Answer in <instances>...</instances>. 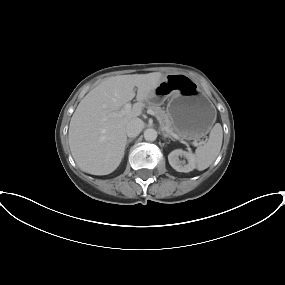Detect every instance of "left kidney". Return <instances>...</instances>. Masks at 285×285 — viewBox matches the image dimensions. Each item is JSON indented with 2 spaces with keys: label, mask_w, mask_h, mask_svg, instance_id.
Wrapping results in <instances>:
<instances>
[{
  "label": "left kidney",
  "mask_w": 285,
  "mask_h": 285,
  "mask_svg": "<svg viewBox=\"0 0 285 285\" xmlns=\"http://www.w3.org/2000/svg\"><path fill=\"white\" fill-rule=\"evenodd\" d=\"M179 157H184L187 160V163L185 160L181 161ZM168 161L169 164L178 172L187 173L195 169L196 166L194 155L181 149L173 150L168 155Z\"/></svg>",
  "instance_id": "obj_1"
}]
</instances>
